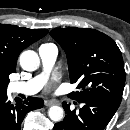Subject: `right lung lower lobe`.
<instances>
[{
    "label": "right lung lower lobe",
    "mask_w": 130,
    "mask_h": 130,
    "mask_svg": "<svg viewBox=\"0 0 130 130\" xmlns=\"http://www.w3.org/2000/svg\"><path fill=\"white\" fill-rule=\"evenodd\" d=\"M44 101L30 97L25 101L18 99L12 104L6 91L0 92V130H20L27 112L43 107Z\"/></svg>",
    "instance_id": "98d812e1"
}]
</instances>
